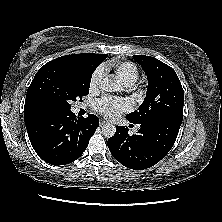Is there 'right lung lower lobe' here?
Here are the masks:
<instances>
[{
    "label": "right lung lower lobe",
    "mask_w": 222,
    "mask_h": 222,
    "mask_svg": "<svg viewBox=\"0 0 222 222\" xmlns=\"http://www.w3.org/2000/svg\"><path fill=\"white\" fill-rule=\"evenodd\" d=\"M25 124L39 157L52 165H64L82 155L99 126V120L93 114L77 119L68 110L46 113Z\"/></svg>",
    "instance_id": "98d812e1"
}]
</instances>
